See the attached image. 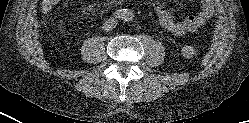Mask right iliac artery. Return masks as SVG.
I'll use <instances>...</instances> for the list:
<instances>
[{
    "label": "right iliac artery",
    "mask_w": 249,
    "mask_h": 123,
    "mask_svg": "<svg viewBox=\"0 0 249 123\" xmlns=\"http://www.w3.org/2000/svg\"><path fill=\"white\" fill-rule=\"evenodd\" d=\"M126 13H127L126 9L117 10V11L114 13V18H119V19L121 18V19H124Z\"/></svg>",
    "instance_id": "right-iliac-artery-1"
}]
</instances>
